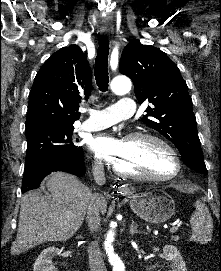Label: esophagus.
I'll return each instance as SVG.
<instances>
[{
  "instance_id": "esophagus-1",
  "label": "esophagus",
  "mask_w": 221,
  "mask_h": 271,
  "mask_svg": "<svg viewBox=\"0 0 221 271\" xmlns=\"http://www.w3.org/2000/svg\"><path fill=\"white\" fill-rule=\"evenodd\" d=\"M100 33H101L102 36H106V35H108V33H109V29L106 28V27H102V28L100 29ZM121 189H122V191H123L124 193H126V194L130 191L129 188L126 187V186H122Z\"/></svg>"
}]
</instances>
